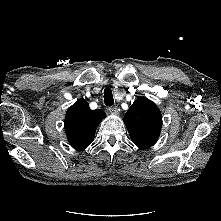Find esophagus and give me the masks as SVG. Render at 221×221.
Segmentation results:
<instances>
[{
    "mask_svg": "<svg viewBox=\"0 0 221 221\" xmlns=\"http://www.w3.org/2000/svg\"><path fill=\"white\" fill-rule=\"evenodd\" d=\"M109 112H110L112 115H117V114H118V107H117V106L110 107V108H109Z\"/></svg>",
    "mask_w": 221,
    "mask_h": 221,
    "instance_id": "1",
    "label": "esophagus"
}]
</instances>
